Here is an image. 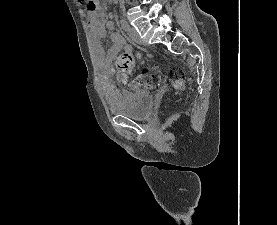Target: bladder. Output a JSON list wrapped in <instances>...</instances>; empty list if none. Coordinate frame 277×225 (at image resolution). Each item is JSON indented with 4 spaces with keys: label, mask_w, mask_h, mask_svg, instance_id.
<instances>
[{
    "label": "bladder",
    "mask_w": 277,
    "mask_h": 225,
    "mask_svg": "<svg viewBox=\"0 0 277 225\" xmlns=\"http://www.w3.org/2000/svg\"><path fill=\"white\" fill-rule=\"evenodd\" d=\"M153 107L154 98L149 91L133 89L122 92L119 99L110 107V112L134 120H144L151 115Z\"/></svg>",
    "instance_id": "obj_1"
}]
</instances>
